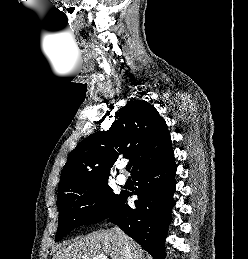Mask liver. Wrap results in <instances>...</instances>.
Here are the masks:
<instances>
[{
	"label": "liver",
	"instance_id": "6515ba94",
	"mask_svg": "<svg viewBox=\"0 0 248 259\" xmlns=\"http://www.w3.org/2000/svg\"><path fill=\"white\" fill-rule=\"evenodd\" d=\"M128 245L133 259H146L142 248L127 235H119L116 230H99L73 240L53 256V259H94L99 255L111 259H126Z\"/></svg>",
	"mask_w": 248,
	"mask_h": 259
}]
</instances>
